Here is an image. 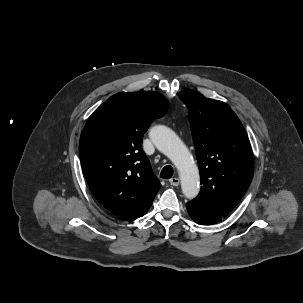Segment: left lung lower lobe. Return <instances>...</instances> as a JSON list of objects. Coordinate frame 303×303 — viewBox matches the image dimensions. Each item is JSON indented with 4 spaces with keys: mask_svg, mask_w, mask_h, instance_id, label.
Returning <instances> with one entry per match:
<instances>
[{
    "mask_svg": "<svg viewBox=\"0 0 303 303\" xmlns=\"http://www.w3.org/2000/svg\"><path fill=\"white\" fill-rule=\"evenodd\" d=\"M187 211L190 217L198 224L212 225L223 219L220 215L208 210L200 205L188 202L186 204Z\"/></svg>",
    "mask_w": 303,
    "mask_h": 303,
    "instance_id": "1",
    "label": "left lung lower lobe"
}]
</instances>
